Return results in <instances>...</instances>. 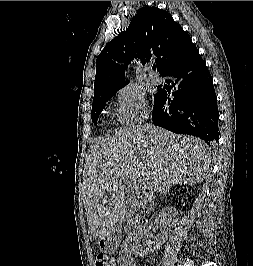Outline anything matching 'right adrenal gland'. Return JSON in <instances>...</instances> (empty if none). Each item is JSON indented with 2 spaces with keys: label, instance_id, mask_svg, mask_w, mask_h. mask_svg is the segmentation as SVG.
Wrapping results in <instances>:
<instances>
[{
  "label": "right adrenal gland",
  "instance_id": "right-adrenal-gland-1",
  "mask_svg": "<svg viewBox=\"0 0 253 266\" xmlns=\"http://www.w3.org/2000/svg\"><path fill=\"white\" fill-rule=\"evenodd\" d=\"M162 193H166L165 191H161Z\"/></svg>",
  "mask_w": 253,
  "mask_h": 266
}]
</instances>
